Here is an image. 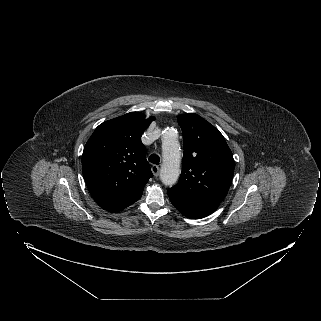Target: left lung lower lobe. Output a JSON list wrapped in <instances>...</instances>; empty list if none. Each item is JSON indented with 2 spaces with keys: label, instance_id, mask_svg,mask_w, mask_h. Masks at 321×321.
Returning a JSON list of instances; mask_svg holds the SVG:
<instances>
[{
  "label": "left lung lower lobe",
  "instance_id": "0a47b994",
  "mask_svg": "<svg viewBox=\"0 0 321 321\" xmlns=\"http://www.w3.org/2000/svg\"><path fill=\"white\" fill-rule=\"evenodd\" d=\"M168 196L172 204L186 217L191 219L204 218L213 213L219 206L217 203L188 198L171 189Z\"/></svg>",
  "mask_w": 321,
  "mask_h": 321
}]
</instances>
